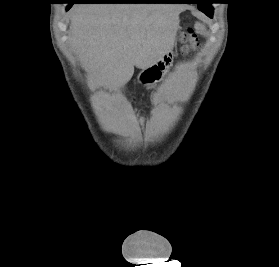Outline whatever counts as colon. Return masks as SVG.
Listing matches in <instances>:
<instances>
[{
    "label": "colon",
    "instance_id": "colon-1",
    "mask_svg": "<svg viewBox=\"0 0 279 267\" xmlns=\"http://www.w3.org/2000/svg\"><path fill=\"white\" fill-rule=\"evenodd\" d=\"M180 42H181V52L184 54L189 53L192 50H195L198 42L197 36L192 28H187L182 31L180 34Z\"/></svg>",
    "mask_w": 279,
    "mask_h": 267
}]
</instances>
